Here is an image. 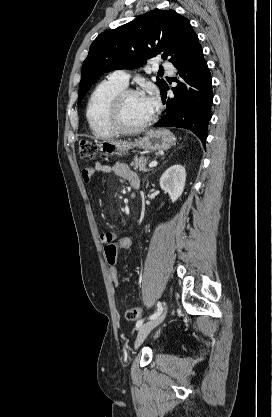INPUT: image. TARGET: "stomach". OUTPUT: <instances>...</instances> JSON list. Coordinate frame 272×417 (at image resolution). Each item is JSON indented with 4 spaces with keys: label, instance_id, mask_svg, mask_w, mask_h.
Listing matches in <instances>:
<instances>
[{
    "label": "stomach",
    "instance_id": "1",
    "mask_svg": "<svg viewBox=\"0 0 272 417\" xmlns=\"http://www.w3.org/2000/svg\"><path fill=\"white\" fill-rule=\"evenodd\" d=\"M176 138L167 129L150 130L144 137L137 139L135 142L127 141H102L99 146L101 151L106 155H122L129 149L139 147L145 151L168 150L175 144Z\"/></svg>",
    "mask_w": 272,
    "mask_h": 417
}]
</instances>
